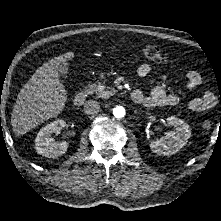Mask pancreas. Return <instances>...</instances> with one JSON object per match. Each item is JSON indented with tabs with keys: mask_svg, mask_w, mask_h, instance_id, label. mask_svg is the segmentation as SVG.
Wrapping results in <instances>:
<instances>
[{
	"mask_svg": "<svg viewBox=\"0 0 221 221\" xmlns=\"http://www.w3.org/2000/svg\"><path fill=\"white\" fill-rule=\"evenodd\" d=\"M91 91L94 92L100 98H108L116 93V90L106 87L105 83H98V85L93 84L91 86Z\"/></svg>",
	"mask_w": 221,
	"mask_h": 221,
	"instance_id": "cf45deb5",
	"label": "pancreas"
}]
</instances>
